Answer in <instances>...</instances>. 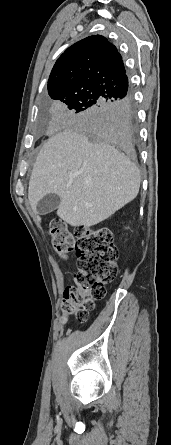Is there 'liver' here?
Instances as JSON below:
<instances>
[{
  "instance_id": "liver-1",
  "label": "liver",
  "mask_w": 171,
  "mask_h": 445,
  "mask_svg": "<svg viewBox=\"0 0 171 445\" xmlns=\"http://www.w3.org/2000/svg\"><path fill=\"white\" fill-rule=\"evenodd\" d=\"M140 172L107 142H94L70 129L41 148L29 181L34 213L47 194L60 196L57 215L71 226L90 227L110 217L138 194Z\"/></svg>"
}]
</instances>
